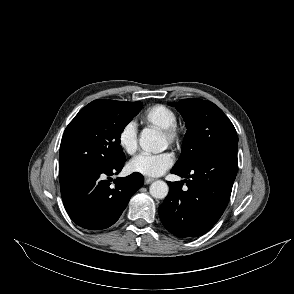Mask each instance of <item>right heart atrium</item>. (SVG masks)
Here are the masks:
<instances>
[{"label":"right heart atrium","mask_w":294,"mask_h":294,"mask_svg":"<svg viewBox=\"0 0 294 294\" xmlns=\"http://www.w3.org/2000/svg\"><path fill=\"white\" fill-rule=\"evenodd\" d=\"M117 142L120 149L132 155L138 148V130L133 121L125 123L118 132Z\"/></svg>","instance_id":"1"}]
</instances>
